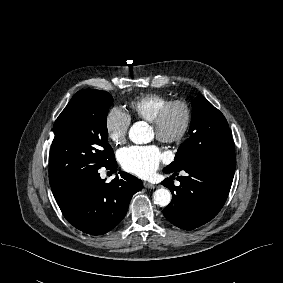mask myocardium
<instances>
[{"label":"myocardium","mask_w":283,"mask_h":283,"mask_svg":"<svg viewBox=\"0 0 283 283\" xmlns=\"http://www.w3.org/2000/svg\"><path fill=\"white\" fill-rule=\"evenodd\" d=\"M178 109L182 114L180 127L171 132L168 129V121L171 113ZM193 121V110L191 105L184 99L169 100L158 112L156 118L151 122L156 138L164 143H179L187 135Z\"/></svg>","instance_id":"1"}]
</instances>
